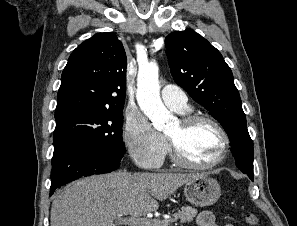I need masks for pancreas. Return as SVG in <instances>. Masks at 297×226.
Wrapping results in <instances>:
<instances>
[{"mask_svg": "<svg viewBox=\"0 0 297 226\" xmlns=\"http://www.w3.org/2000/svg\"><path fill=\"white\" fill-rule=\"evenodd\" d=\"M197 215V210L193 207H182L177 213L173 214V218L168 220L156 219L151 226H169L171 222L180 219L181 223L192 222Z\"/></svg>", "mask_w": 297, "mask_h": 226, "instance_id": "1", "label": "pancreas"}]
</instances>
